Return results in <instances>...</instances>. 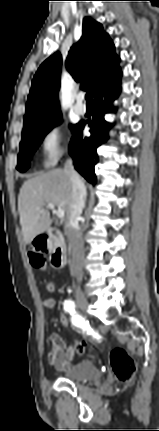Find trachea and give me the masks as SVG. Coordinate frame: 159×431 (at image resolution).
Listing matches in <instances>:
<instances>
[{"mask_svg": "<svg viewBox=\"0 0 159 431\" xmlns=\"http://www.w3.org/2000/svg\"><path fill=\"white\" fill-rule=\"evenodd\" d=\"M85 98H86V102H87L88 105H91L93 103V97H92V92L91 91L87 92Z\"/></svg>", "mask_w": 159, "mask_h": 431, "instance_id": "trachea-1", "label": "trachea"}]
</instances>
